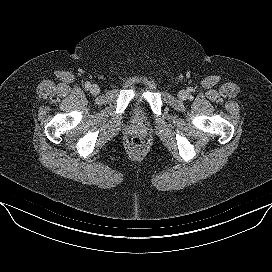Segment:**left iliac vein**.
I'll return each mask as SVG.
<instances>
[{
    "label": "left iliac vein",
    "instance_id": "4c4485c4",
    "mask_svg": "<svg viewBox=\"0 0 272 272\" xmlns=\"http://www.w3.org/2000/svg\"><path fill=\"white\" fill-rule=\"evenodd\" d=\"M178 97H179V99H181V100H185V99H187V97H188V92H187L186 90H181V91H179V93H178Z\"/></svg>",
    "mask_w": 272,
    "mask_h": 272
}]
</instances>
